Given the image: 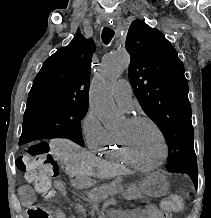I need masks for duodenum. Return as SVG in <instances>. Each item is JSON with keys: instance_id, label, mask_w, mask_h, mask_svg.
I'll return each instance as SVG.
<instances>
[{"instance_id": "obj_1", "label": "duodenum", "mask_w": 211, "mask_h": 218, "mask_svg": "<svg viewBox=\"0 0 211 218\" xmlns=\"http://www.w3.org/2000/svg\"><path fill=\"white\" fill-rule=\"evenodd\" d=\"M71 182L73 185L78 186L82 183V176L79 173L71 174ZM105 216L109 218H138V210H107Z\"/></svg>"}]
</instances>
